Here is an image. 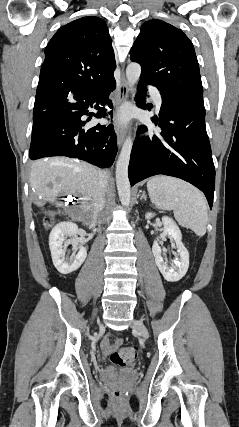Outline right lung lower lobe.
Instances as JSON below:
<instances>
[{
  "label": "right lung lower lobe",
  "mask_w": 239,
  "mask_h": 427,
  "mask_svg": "<svg viewBox=\"0 0 239 427\" xmlns=\"http://www.w3.org/2000/svg\"><path fill=\"white\" fill-rule=\"evenodd\" d=\"M115 87L113 77L92 89L66 91L48 98V105L33 120L30 159L67 156L101 168L111 166L118 150L113 127H89L86 123L91 117L85 120L83 116L112 117L109 94ZM93 107L98 113L88 112Z\"/></svg>",
  "instance_id": "98d812e1"
}]
</instances>
